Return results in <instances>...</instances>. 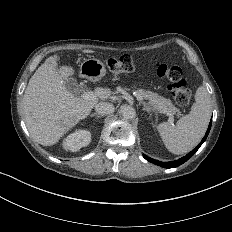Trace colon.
<instances>
[{"mask_svg": "<svg viewBox=\"0 0 232 232\" xmlns=\"http://www.w3.org/2000/svg\"><path fill=\"white\" fill-rule=\"evenodd\" d=\"M107 66L113 73H134L132 59L128 55L107 56ZM154 74L158 78H165L167 82H172L174 89L173 102L175 105H189L191 93L194 87L191 86L187 75L183 74V68L179 64H171L168 67L163 62H158L154 66ZM176 111H187V106H176Z\"/></svg>", "mask_w": 232, "mask_h": 232, "instance_id": "obj_1", "label": "colon"}]
</instances>
